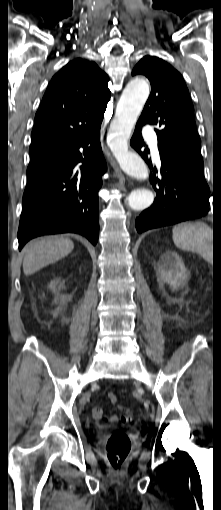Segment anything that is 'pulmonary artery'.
Here are the masks:
<instances>
[{"label": "pulmonary artery", "mask_w": 221, "mask_h": 510, "mask_svg": "<svg viewBox=\"0 0 221 510\" xmlns=\"http://www.w3.org/2000/svg\"><path fill=\"white\" fill-rule=\"evenodd\" d=\"M144 137L145 139L147 140L152 152H153V155L154 157L158 158L159 157V150H158V144H157V137H156V133L153 131V130H150V129H145L144 130Z\"/></svg>", "instance_id": "obj_1"}]
</instances>
